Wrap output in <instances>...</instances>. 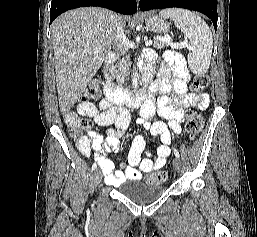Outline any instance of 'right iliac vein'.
Instances as JSON below:
<instances>
[{
    "label": "right iliac vein",
    "instance_id": "obj_1",
    "mask_svg": "<svg viewBox=\"0 0 257 237\" xmlns=\"http://www.w3.org/2000/svg\"><path fill=\"white\" fill-rule=\"evenodd\" d=\"M102 178V172L101 170L98 168L94 171V175H93V183L95 186H97Z\"/></svg>",
    "mask_w": 257,
    "mask_h": 237
}]
</instances>
